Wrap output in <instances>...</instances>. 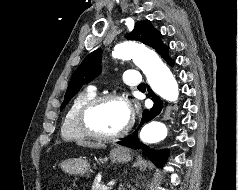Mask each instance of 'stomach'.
I'll return each instance as SVG.
<instances>
[{
  "label": "stomach",
  "instance_id": "1",
  "mask_svg": "<svg viewBox=\"0 0 238 190\" xmlns=\"http://www.w3.org/2000/svg\"><path fill=\"white\" fill-rule=\"evenodd\" d=\"M109 158L113 162L125 163L130 161L131 155L126 148L116 147L110 151ZM105 158L104 161H107ZM63 171L73 175H83L90 170V164L82 158L67 159L60 164Z\"/></svg>",
  "mask_w": 238,
  "mask_h": 190
}]
</instances>
